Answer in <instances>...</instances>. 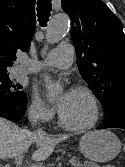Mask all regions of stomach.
Here are the masks:
<instances>
[{"instance_id":"0dacf381","label":"stomach","mask_w":125,"mask_h":167,"mask_svg":"<svg viewBox=\"0 0 125 167\" xmlns=\"http://www.w3.org/2000/svg\"><path fill=\"white\" fill-rule=\"evenodd\" d=\"M82 154L93 162H107L121 150V142L108 130L92 131L83 136L79 143Z\"/></svg>"}]
</instances>
